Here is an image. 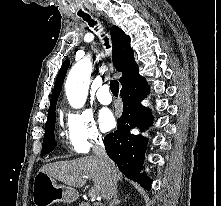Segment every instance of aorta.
I'll use <instances>...</instances> for the list:
<instances>
[{
    "instance_id": "762f6f07",
    "label": "aorta",
    "mask_w": 221,
    "mask_h": 206,
    "mask_svg": "<svg viewBox=\"0 0 221 206\" xmlns=\"http://www.w3.org/2000/svg\"><path fill=\"white\" fill-rule=\"evenodd\" d=\"M92 64L88 58L77 62L70 70L65 91L69 104L73 108H81L86 102L90 85Z\"/></svg>"
}]
</instances>
